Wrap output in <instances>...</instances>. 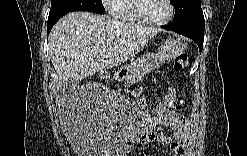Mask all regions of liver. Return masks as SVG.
<instances>
[{
  "mask_svg": "<svg viewBox=\"0 0 247 156\" xmlns=\"http://www.w3.org/2000/svg\"><path fill=\"white\" fill-rule=\"evenodd\" d=\"M158 28L119 21L106 15L72 12L52 28L48 51L57 72V90L131 59L157 34Z\"/></svg>",
  "mask_w": 247,
  "mask_h": 156,
  "instance_id": "obj_1",
  "label": "liver"
}]
</instances>
